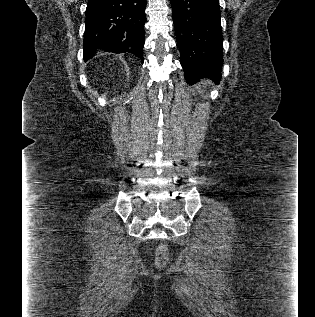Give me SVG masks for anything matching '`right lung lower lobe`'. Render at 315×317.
I'll list each match as a JSON object with an SVG mask.
<instances>
[{
	"label": "right lung lower lobe",
	"mask_w": 315,
	"mask_h": 317,
	"mask_svg": "<svg viewBox=\"0 0 315 317\" xmlns=\"http://www.w3.org/2000/svg\"><path fill=\"white\" fill-rule=\"evenodd\" d=\"M146 0H88L84 33V60L95 48L130 52L142 62Z\"/></svg>",
	"instance_id": "right-lung-lower-lobe-1"
}]
</instances>
